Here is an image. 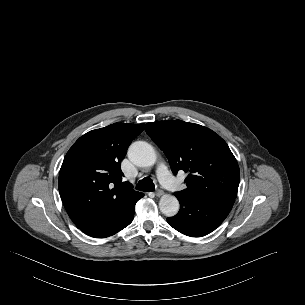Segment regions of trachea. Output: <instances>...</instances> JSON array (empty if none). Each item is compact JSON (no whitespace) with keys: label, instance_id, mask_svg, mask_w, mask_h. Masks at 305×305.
Returning a JSON list of instances; mask_svg holds the SVG:
<instances>
[{"label":"trachea","instance_id":"3493384b","mask_svg":"<svg viewBox=\"0 0 305 305\" xmlns=\"http://www.w3.org/2000/svg\"><path fill=\"white\" fill-rule=\"evenodd\" d=\"M136 189L145 192H152L155 190V185L150 177H145L138 182Z\"/></svg>","mask_w":305,"mask_h":305}]
</instances>
